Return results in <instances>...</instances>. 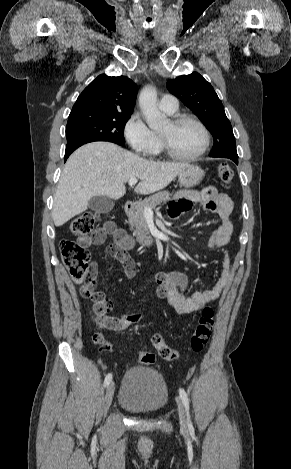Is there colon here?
<instances>
[{
	"instance_id": "obj_1",
	"label": "colon",
	"mask_w": 291,
	"mask_h": 469,
	"mask_svg": "<svg viewBox=\"0 0 291 469\" xmlns=\"http://www.w3.org/2000/svg\"><path fill=\"white\" fill-rule=\"evenodd\" d=\"M218 176L223 184H229L234 177L232 168L227 164H221L218 168ZM98 214L84 212L75 217L70 223V231L77 236V240H65L61 244L62 259L69 274L77 285H81L80 293L91 301L90 313L99 329H109L112 325V317L109 312L112 302L105 295L96 290L97 272L90 262V254L87 247L101 238V230L95 229ZM108 252L121 259L124 272L127 277L135 273L133 261L127 257L119 247L111 244ZM214 326V313L210 308H204L190 338V348L194 352H200L208 343ZM95 343L100 350H108L109 345L103 336L97 333L94 336ZM152 345L158 355L166 361L177 358V352L165 343L160 333L153 334ZM139 361L143 365H151L156 361V355L152 352H139Z\"/></svg>"
}]
</instances>
